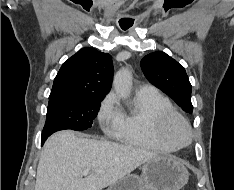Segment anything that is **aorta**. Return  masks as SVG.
Here are the masks:
<instances>
[{"label":"aorta","instance_id":"aorta-1","mask_svg":"<svg viewBox=\"0 0 234 190\" xmlns=\"http://www.w3.org/2000/svg\"><path fill=\"white\" fill-rule=\"evenodd\" d=\"M113 86L120 97L126 98L132 86L131 72L127 68L120 69L114 76Z\"/></svg>","mask_w":234,"mask_h":190}]
</instances>
